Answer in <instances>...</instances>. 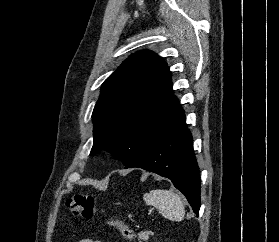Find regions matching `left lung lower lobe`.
I'll return each instance as SVG.
<instances>
[{"label": "left lung lower lobe", "mask_w": 279, "mask_h": 242, "mask_svg": "<svg viewBox=\"0 0 279 242\" xmlns=\"http://www.w3.org/2000/svg\"><path fill=\"white\" fill-rule=\"evenodd\" d=\"M139 167L169 178L187 198L195 214L200 209V176L193 138L185 124V113L144 153L125 165Z\"/></svg>", "instance_id": "0a47b994"}]
</instances>
